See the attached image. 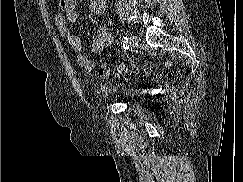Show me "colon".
Returning a JSON list of instances; mask_svg holds the SVG:
<instances>
[{
	"label": "colon",
	"instance_id": "1",
	"mask_svg": "<svg viewBox=\"0 0 243 182\" xmlns=\"http://www.w3.org/2000/svg\"><path fill=\"white\" fill-rule=\"evenodd\" d=\"M163 65L165 67H169L171 65V63L168 60H166L163 62ZM97 73L100 78L106 79L110 76V69L106 65H101L98 68Z\"/></svg>",
	"mask_w": 243,
	"mask_h": 182
}]
</instances>
